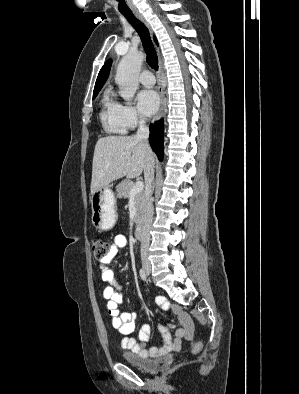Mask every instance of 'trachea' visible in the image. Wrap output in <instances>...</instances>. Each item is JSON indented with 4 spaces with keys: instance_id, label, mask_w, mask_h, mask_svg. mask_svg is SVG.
I'll list each match as a JSON object with an SVG mask.
<instances>
[{
    "instance_id": "trachea-1",
    "label": "trachea",
    "mask_w": 299,
    "mask_h": 394,
    "mask_svg": "<svg viewBox=\"0 0 299 394\" xmlns=\"http://www.w3.org/2000/svg\"><path fill=\"white\" fill-rule=\"evenodd\" d=\"M120 12L139 34L142 40L144 51L147 55L148 65L154 70H158V58L150 38L148 28L144 25V23L137 19L131 11L120 10Z\"/></svg>"
}]
</instances>
